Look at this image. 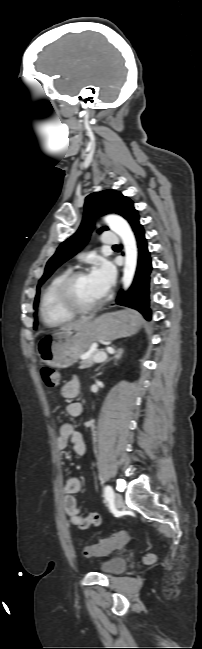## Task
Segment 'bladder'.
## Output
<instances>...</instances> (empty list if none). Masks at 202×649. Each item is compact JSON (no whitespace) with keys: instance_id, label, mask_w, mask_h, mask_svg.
<instances>
[{"instance_id":"bladder-1","label":"bladder","mask_w":202,"mask_h":649,"mask_svg":"<svg viewBox=\"0 0 202 649\" xmlns=\"http://www.w3.org/2000/svg\"><path fill=\"white\" fill-rule=\"evenodd\" d=\"M127 566V561L122 557H115L101 563L99 571L104 574H120Z\"/></svg>"}]
</instances>
